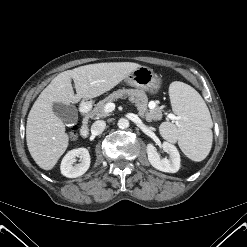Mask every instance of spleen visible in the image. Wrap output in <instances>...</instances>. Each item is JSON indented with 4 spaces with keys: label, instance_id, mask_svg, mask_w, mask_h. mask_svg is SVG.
<instances>
[{
    "label": "spleen",
    "instance_id": "1",
    "mask_svg": "<svg viewBox=\"0 0 247 247\" xmlns=\"http://www.w3.org/2000/svg\"><path fill=\"white\" fill-rule=\"evenodd\" d=\"M169 96L179 120L176 124L163 122L160 125L162 136L178 142L182 152L191 160H204L213 141V122L205 101L194 88L180 81L170 84Z\"/></svg>",
    "mask_w": 247,
    "mask_h": 247
}]
</instances>
